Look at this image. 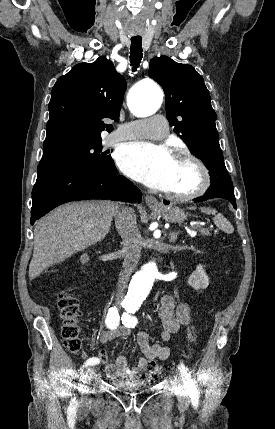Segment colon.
<instances>
[{
    "label": "colon",
    "mask_w": 275,
    "mask_h": 429,
    "mask_svg": "<svg viewBox=\"0 0 275 429\" xmlns=\"http://www.w3.org/2000/svg\"><path fill=\"white\" fill-rule=\"evenodd\" d=\"M58 308L60 310L62 324V336L65 341L66 348L71 353H77L81 349V311L75 296L70 289H65L58 294ZM102 361L106 360V355H101ZM148 373L151 378L155 379L159 373V366L155 361H149Z\"/></svg>",
    "instance_id": "colon-1"
}]
</instances>
